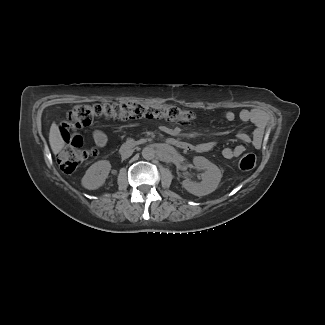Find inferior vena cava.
<instances>
[{
  "label": "inferior vena cava",
  "instance_id": "obj_1",
  "mask_svg": "<svg viewBox=\"0 0 325 325\" xmlns=\"http://www.w3.org/2000/svg\"><path fill=\"white\" fill-rule=\"evenodd\" d=\"M131 154H132V151L124 152V153L122 154V158H123V159H126V158L130 157Z\"/></svg>",
  "mask_w": 325,
  "mask_h": 325
}]
</instances>
